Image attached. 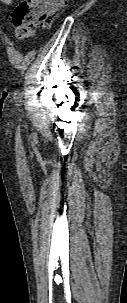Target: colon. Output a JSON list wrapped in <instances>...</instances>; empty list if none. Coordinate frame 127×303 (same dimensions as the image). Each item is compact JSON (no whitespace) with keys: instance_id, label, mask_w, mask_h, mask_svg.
<instances>
[{"instance_id":"5ec220e1","label":"colon","mask_w":127,"mask_h":303,"mask_svg":"<svg viewBox=\"0 0 127 303\" xmlns=\"http://www.w3.org/2000/svg\"><path fill=\"white\" fill-rule=\"evenodd\" d=\"M11 3L12 0H3ZM67 0H24L13 11L11 23L18 38L25 39L36 28H47L53 17L65 9Z\"/></svg>"}]
</instances>
